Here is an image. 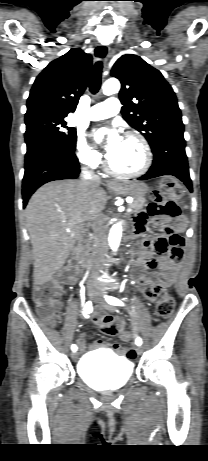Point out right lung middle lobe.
Returning a JSON list of instances; mask_svg holds the SVG:
<instances>
[{
  "mask_svg": "<svg viewBox=\"0 0 208 461\" xmlns=\"http://www.w3.org/2000/svg\"><path fill=\"white\" fill-rule=\"evenodd\" d=\"M65 116H25L26 156L44 146L75 150L76 129L68 127Z\"/></svg>",
  "mask_w": 208,
  "mask_h": 461,
  "instance_id": "right-lung-middle-lobe-1",
  "label": "right lung middle lobe"
}]
</instances>
